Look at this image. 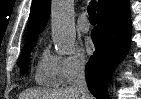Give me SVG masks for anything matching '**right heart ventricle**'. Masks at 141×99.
<instances>
[{
	"label": "right heart ventricle",
	"instance_id": "right-heart-ventricle-1",
	"mask_svg": "<svg viewBox=\"0 0 141 99\" xmlns=\"http://www.w3.org/2000/svg\"><path fill=\"white\" fill-rule=\"evenodd\" d=\"M35 81L46 87H56L61 84L58 57L53 56L48 50H44L37 62L35 69Z\"/></svg>",
	"mask_w": 141,
	"mask_h": 99
}]
</instances>
